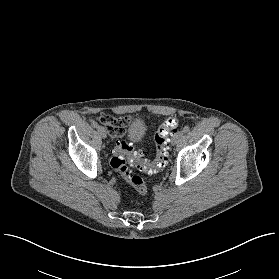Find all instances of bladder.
<instances>
[{"instance_id":"1","label":"bladder","mask_w":279,"mask_h":279,"mask_svg":"<svg viewBox=\"0 0 279 279\" xmlns=\"http://www.w3.org/2000/svg\"><path fill=\"white\" fill-rule=\"evenodd\" d=\"M147 125L142 118H133L127 130V141L131 143L140 142L146 133Z\"/></svg>"}]
</instances>
